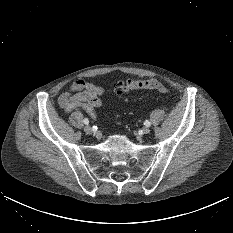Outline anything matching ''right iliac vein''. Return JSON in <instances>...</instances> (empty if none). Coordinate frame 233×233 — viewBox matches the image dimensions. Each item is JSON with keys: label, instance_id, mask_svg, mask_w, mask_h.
<instances>
[{"label": "right iliac vein", "instance_id": "1", "mask_svg": "<svg viewBox=\"0 0 233 233\" xmlns=\"http://www.w3.org/2000/svg\"><path fill=\"white\" fill-rule=\"evenodd\" d=\"M84 131L86 134H91L93 132V129L91 126L87 125L84 127Z\"/></svg>", "mask_w": 233, "mask_h": 233}]
</instances>
